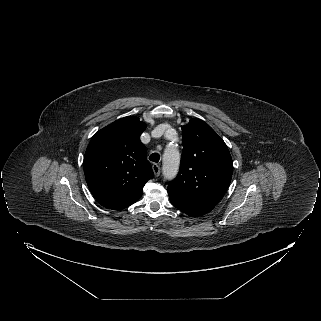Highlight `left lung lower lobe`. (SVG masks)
Segmentation results:
<instances>
[{
	"label": "left lung lower lobe",
	"instance_id": "1",
	"mask_svg": "<svg viewBox=\"0 0 321 321\" xmlns=\"http://www.w3.org/2000/svg\"><path fill=\"white\" fill-rule=\"evenodd\" d=\"M169 199L176 208L193 217L207 214L214 208V206L211 205L194 203L184 200L171 193H169Z\"/></svg>",
	"mask_w": 321,
	"mask_h": 321
}]
</instances>
